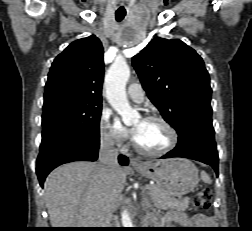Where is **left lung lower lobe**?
Returning a JSON list of instances; mask_svg holds the SVG:
<instances>
[{"instance_id": "0a47b994", "label": "left lung lower lobe", "mask_w": 252, "mask_h": 231, "mask_svg": "<svg viewBox=\"0 0 252 231\" xmlns=\"http://www.w3.org/2000/svg\"><path fill=\"white\" fill-rule=\"evenodd\" d=\"M212 121L196 120L178 132L177 146L161 158L184 157L212 166L218 176V153Z\"/></svg>"}]
</instances>
